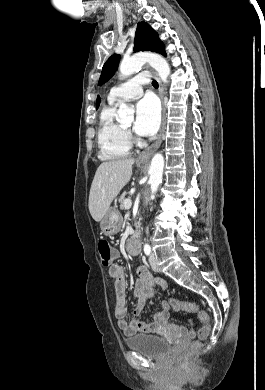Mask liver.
<instances>
[{"label": "liver", "instance_id": "6515ba94", "mask_svg": "<svg viewBox=\"0 0 265 390\" xmlns=\"http://www.w3.org/2000/svg\"><path fill=\"white\" fill-rule=\"evenodd\" d=\"M133 158L103 162L96 170L89 194V211L99 222L110 208V204L130 181Z\"/></svg>", "mask_w": 265, "mask_h": 390}]
</instances>
